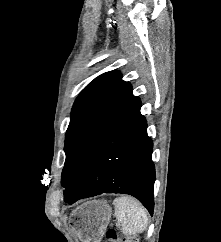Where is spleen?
<instances>
[{
    "instance_id": "spleen-1",
    "label": "spleen",
    "mask_w": 221,
    "mask_h": 242,
    "mask_svg": "<svg viewBox=\"0 0 221 242\" xmlns=\"http://www.w3.org/2000/svg\"><path fill=\"white\" fill-rule=\"evenodd\" d=\"M115 216L122 223L121 231L124 235L135 236L143 233L148 225L146 209L135 198L121 196L114 200Z\"/></svg>"
}]
</instances>
